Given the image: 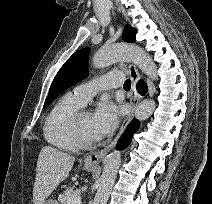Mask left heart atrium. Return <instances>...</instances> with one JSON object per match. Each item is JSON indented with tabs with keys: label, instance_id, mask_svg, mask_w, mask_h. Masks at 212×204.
Instances as JSON below:
<instances>
[{
	"label": "left heart atrium",
	"instance_id": "obj_1",
	"mask_svg": "<svg viewBox=\"0 0 212 204\" xmlns=\"http://www.w3.org/2000/svg\"><path fill=\"white\" fill-rule=\"evenodd\" d=\"M119 109L109 100L100 102L93 113L94 134L96 139H101L111 134L119 122Z\"/></svg>",
	"mask_w": 212,
	"mask_h": 204
}]
</instances>
